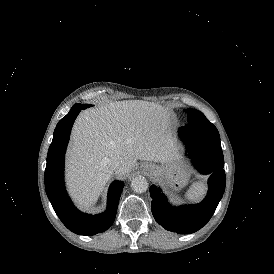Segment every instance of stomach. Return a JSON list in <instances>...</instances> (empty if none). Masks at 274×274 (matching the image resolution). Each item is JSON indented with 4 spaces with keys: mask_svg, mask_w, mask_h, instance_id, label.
I'll return each instance as SVG.
<instances>
[{
    "mask_svg": "<svg viewBox=\"0 0 274 274\" xmlns=\"http://www.w3.org/2000/svg\"><path fill=\"white\" fill-rule=\"evenodd\" d=\"M146 165L150 167V170L146 171L147 175L153 181H160L175 191L182 189L189 181L190 172L181 162L178 153L160 165L154 163Z\"/></svg>",
    "mask_w": 274,
    "mask_h": 274,
    "instance_id": "0dacf381",
    "label": "stomach"
}]
</instances>
